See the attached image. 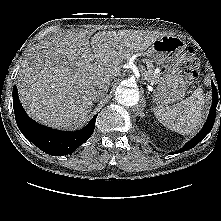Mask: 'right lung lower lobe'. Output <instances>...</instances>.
Returning a JSON list of instances; mask_svg holds the SVG:
<instances>
[{
	"mask_svg": "<svg viewBox=\"0 0 221 221\" xmlns=\"http://www.w3.org/2000/svg\"><path fill=\"white\" fill-rule=\"evenodd\" d=\"M13 105L16 123L22 134L39 149L53 156L73 153L87 141L94 132L96 114L89 123L79 131H58L38 124L25 112L18 98L16 86L13 87Z\"/></svg>",
	"mask_w": 221,
	"mask_h": 221,
	"instance_id": "right-lung-lower-lobe-1",
	"label": "right lung lower lobe"
}]
</instances>
